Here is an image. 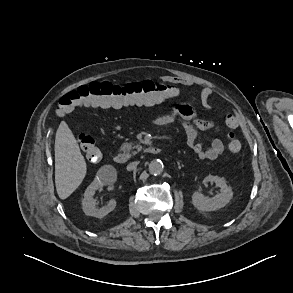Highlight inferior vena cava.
<instances>
[{
	"instance_id": "obj_1",
	"label": "inferior vena cava",
	"mask_w": 293,
	"mask_h": 293,
	"mask_svg": "<svg viewBox=\"0 0 293 293\" xmlns=\"http://www.w3.org/2000/svg\"><path fill=\"white\" fill-rule=\"evenodd\" d=\"M137 165H138V162H132V163L127 165V170L128 171L135 170Z\"/></svg>"
}]
</instances>
